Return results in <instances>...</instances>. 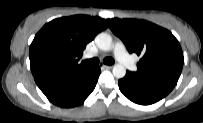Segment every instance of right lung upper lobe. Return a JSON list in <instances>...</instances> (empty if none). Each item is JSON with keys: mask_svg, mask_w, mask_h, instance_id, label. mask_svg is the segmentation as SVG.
<instances>
[{"mask_svg": "<svg viewBox=\"0 0 203 123\" xmlns=\"http://www.w3.org/2000/svg\"><path fill=\"white\" fill-rule=\"evenodd\" d=\"M107 26L104 19L87 15L62 17L45 24L30 45L32 74L86 68L78 64V59L86 44Z\"/></svg>", "mask_w": 203, "mask_h": 123, "instance_id": "cb5924a9", "label": "right lung upper lobe"}]
</instances>
